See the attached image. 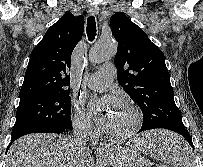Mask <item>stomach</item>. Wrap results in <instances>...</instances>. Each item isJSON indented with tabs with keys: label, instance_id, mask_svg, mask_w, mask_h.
I'll return each instance as SVG.
<instances>
[{
	"label": "stomach",
	"instance_id": "obj_1",
	"mask_svg": "<svg viewBox=\"0 0 203 167\" xmlns=\"http://www.w3.org/2000/svg\"><path fill=\"white\" fill-rule=\"evenodd\" d=\"M149 134L151 133L134 141L141 142L140 147L138 148L135 147L134 144H128L126 148L116 147L111 154L112 167H150L149 163L140 154L143 148V143Z\"/></svg>",
	"mask_w": 203,
	"mask_h": 167
}]
</instances>
